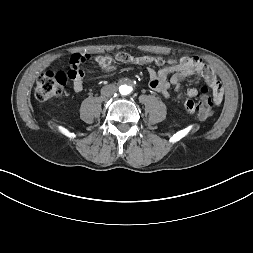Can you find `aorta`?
<instances>
[{
    "mask_svg": "<svg viewBox=\"0 0 253 253\" xmlns=\"http://www.w3.org/2000/svg\"><path fill=\"white\" fill-rule=\"evenodd\" d=\"M119 91H120L121 94L127 95L132 91V87H130L128 85H121L119 87Z\"/></svg>",
    "mask_w": 253,
    "mask_h": 253,
    "instance_id": "obj_1",
    "label": "aorta"
}]
</instances>
